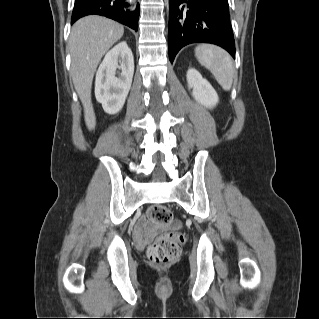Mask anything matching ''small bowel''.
I'll list each match as a JSON object with an SVG mask.
<instances>
[{
    "instance_id": "small-bowel-1",
    "label": "small bowel",
    "mask_w": 319,
    "mask_h": 319,
    "mask_svg": "<svg viewBox=\"0 0 319 319\" xmlns=\"http://www.w3.org/2000/svg\"><path fill=\"white\" fill-rule=\"evenodd\" d=\"M179 226L175 224L173 229H178ZM161 228L151 222H149L146 218H140L135 227H134V235L138 241L148 240L153 237Z\"/></svg>"
}]
</instances>
